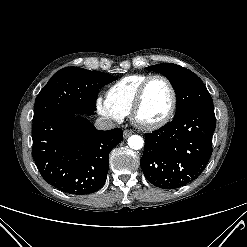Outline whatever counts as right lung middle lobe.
Wrapping results in <instances>:
<instances>
[{"mask_svg": "<svg viewBox=\"0 0 247 247\" xmlns=\"http://www.w3.org/2000/svg\"><path fill=\"white\" fill-rule=\"evenodd\" d=\"M115 80L114 76L99 71L78 67L61 69L38 94L34 118L55 110L93 115L99 89Z\"/></svg>", "mask_w": 247, "mask_h": 247, "instance_id": "dd1d6c3e", "label": "right lung middle lobe"}]
</instances>
